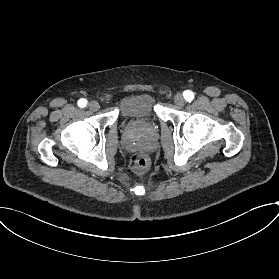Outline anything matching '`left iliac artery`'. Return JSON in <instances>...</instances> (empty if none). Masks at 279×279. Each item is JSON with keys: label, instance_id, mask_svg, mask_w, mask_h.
Here are the masks:
<instances>
[{"label": "left iliac artery", "instance_id": "left-iliac-artery-1", "mask_svg": "<svg viewBox=\"0 0 279 279\" xmlns=\"http://www.w3.org/2000/svg\"><path fill=\"white\" fill-rule=\"evenodd\" d=\"M183 96L185 100L188 101L189 103L194 99V93L190 90H185L183 92Z\"/></svg>", "mask_w": 279, "mask_h": 279}]
</instances>
